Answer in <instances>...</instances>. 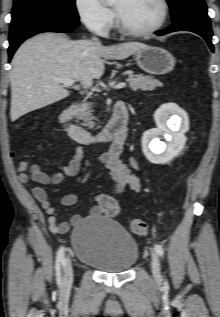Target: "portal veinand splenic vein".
Wrapping results in <instances>:
<instances>
[{
	"instance_id": "18ae733b",
	"label": "portal vein and splenic vein",
	"mask_w": 220,
	"mask_h": 317,
	"mask_svg": "<svg viewBox=\"0 0 220 317\" xmlns=\"http://www.w3.org/2000/svg\"><path fill=\"white\" fill-rule=\"evenodd\" d=\"M53 79L58 81V82H60V83H62L64 87H70V86L74 85L75 82H76L73 79H62V78H59V77H54ZM124 87H126V83H119V84L114 86L115 89H122ZM92 90L93 91H97V92L100 91L99 89H97L95 87L92 88Z\"/></svg>"
}]
</instances>
